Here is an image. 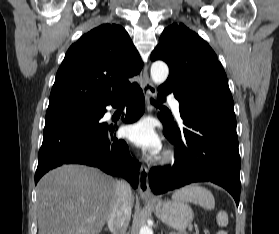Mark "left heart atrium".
Returning <instances> with one entry per match:
<instances>
[{"mask_svg": "<svg viewBox=\"0 0 279 234\" xmlns=\"http://www.w3.org/2000/svg\"><path fill=\"white\" fill-rule=\"evenodd\" d=\"M125 135L136 146L152 153H158L161 149L160 139L148 119L128 125L125 128Z\"/></svg>", "mask_w": 279, "mask_h": 234, "instance_id": "1", "label": "left heart atrium"}]
</instances>
